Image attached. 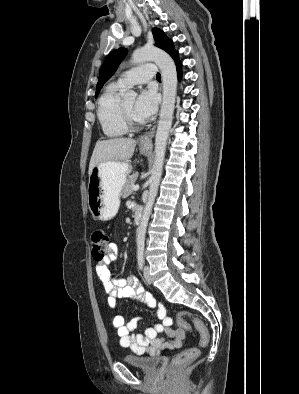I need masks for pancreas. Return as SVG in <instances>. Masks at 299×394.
<instances>
[{"label":"pancreas","instance_id":"obj_1","mask_svg":"<svg viewBox=\"0 0 299 394\" xmlns=\"http://www.w3.org/2000/svg\"><path fill=\"white\" fill-rule=\"evenodd\" d=\"M138 178V173H134L128 177L121 193L122 198H126L133 193V186Z\"/></svg>","mask_w":299,"mask_h":394}]
</instances>
